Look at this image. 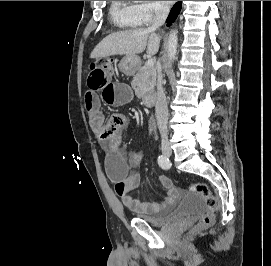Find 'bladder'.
Listing matches in <instances>:
<instances>
[{"instance_id": "31cf9c89", "label": "bladder", "mask_w": 271, "mask_h": 266, "mask_svg": "<svg viewBox=\"0 0 271 266\" xmlns=\"http://www.w3.org/2000/svg\"><path fill=\"white\" fill-rule=\"evenodd\" d=\"M204 210L205 205L203 199L197 193L190 192L184 195L179 206L161 217L147 216L143 214H136L135 217L144 220L151 225L160 226L171 221L184 219L192 214L203 213Z\"/></svg>"}]
</instances>
